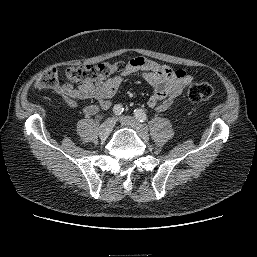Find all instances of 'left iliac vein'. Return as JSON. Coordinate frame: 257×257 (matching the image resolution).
Masks as SVG:
<instances>
[{"mask_svg": "<svg viewBox=\"0 0 257 257\" xmlns=\"http://www.w3.org/2000/svg\"><path fill=\"white\" fill-rule=\"evenodd\" d=\"M119 122L123 125V126H128L133 128L137 135L142 138L143 140H148L149 138V134L148 131L146 130V128L140 124L135 118L130 117V116H121L119 118Z\"/></svg>", "mask_w": 257, "mask_h": 257, "instance_id": "obj_1", "label": "left iliac vein"}]
</instances>
